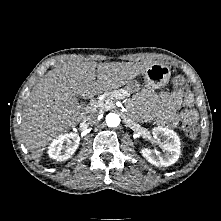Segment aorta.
Wrapping results in <instances>:
<instances>
[{"mask_svg":"<svg viewBox=\"0 0 221 221\" xmlns=\"http://www.w3.org/2000/svg\"><path fill=\"white\" fill-rule=\"evenodd\" d=\"M120 117L115 113H109L106 116V124L109 127H117L120 124Z\"/></svg>","mask_w":221,"mask_h":221,"instance_id":"762f6f07","label":"aorta"}]
</instances>
